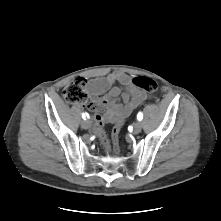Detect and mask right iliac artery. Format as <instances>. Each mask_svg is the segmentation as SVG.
Masks as SVG:
<instances>
[{
    "mask_svg": "<svg viewBox=\"0 0 221 221\" xmlns=\"http://www.w3.org/2000/svg\"><path fill=\"white\" fill-rule=\"evenodd\" d=\"M82 118L85 120L86 118H89V115L87 113H82Z\"/></svg>",
    "mask_w": 221,
    "mask_h": 221,
    "instance_id": "right-iliac-artery-1",
    "label": "right iliac artery"
}]
</instances>
